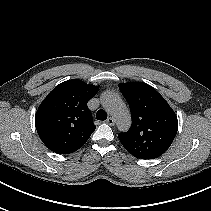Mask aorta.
I'll use <instances>...</instances> for the list:
<instances>
[{
    "label": "aorta",
    "instance_id": "762f6f07",
    "mask_svg": "<svg viewBox=\"0 0 211 211\" xmlns=\"http://www.w3.org/2000/svg\"><path fill=\"white\" fill-rule=\"evenodd\" d=\"M103 107L112 115L120 131H127L131 125V116L126 104L113 92H105L101 97Z\"/></svg>",
    "mask_w": 211,
    "mask_h": 211
}]
</instances>
